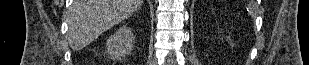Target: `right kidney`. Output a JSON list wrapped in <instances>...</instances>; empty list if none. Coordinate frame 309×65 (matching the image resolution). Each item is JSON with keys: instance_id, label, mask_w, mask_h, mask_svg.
Returning <instances> with one entry per match:
<instances>
[{"instance_id": "ca27d5eb", "label": "right kidney", "mask_w": 309, "mask_h": 65, "mask_svg": "<svg viewBox=\"0 0 309 65\" xmlns=\"http://www.w3.org/2000/svg\"><path fill=\"white\" fill-rule=\"evenodd\" d=\"M133 45L134 35L132 31L122 27L109 37L106 42V49L113 59L121 60V57H125V55L132 52Z\"/></svg>"}]
</instances>
